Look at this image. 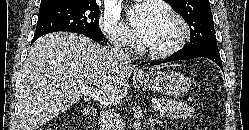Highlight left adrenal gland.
I'll return each mask as SVG.
<instances>
[{
    "instance_id": "1",
    "label": "left adrenal gland",
    "mask_w": 249,
    "mask_h": 130,
    "mask_svg": "<svg viewBox=\"0 0 249 130\" xmlns=\"http://www.w3.org/2000/svg\"><path fill=\"white\" fill-rule=\"evenodd\" d=\"M149 121H150L151 125L163 123L161 120H158L157 118H152V114L149 115Z\"/></svg>"
}]
</instances>
